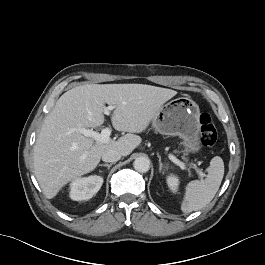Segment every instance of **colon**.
Returning <instances> with one entry per match:
<instances>
[{"label": "colon", "mask_w": 265, "mask_h": 265, "mask_svg": "<svg viewBox=\"0 0 265 265\" xmlns=\"http://www.w3.org/2000/svg\"><path fill=\"white\" fill-rule=\"evenodd\" d=\"M200 135L202 144L206 147L213 146L217 140L216 125L209 114L200 116Z\"/></svg>", "instance_id": "5ec220e1"}]
</instances>
